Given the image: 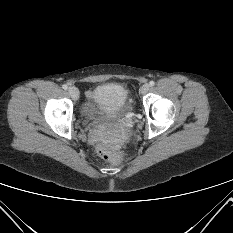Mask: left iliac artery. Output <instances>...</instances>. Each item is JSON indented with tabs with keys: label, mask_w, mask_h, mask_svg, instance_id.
Listing matches in <instances>:
<instances>
[{
	"label": "left iliac artery",
	"mask_w": 233,
	"mask_h": 233,
	"mask_svg": "<svg viewBox=\"0 0 233 233\" xmlns=\"http://www.w3.org/2000/svg\"><path fill=\"white\" fill-rule=\"evenodd\" d=\"M149 85L152 87V86L155 85V82H154V81H150V82H149Z\"/></svg>",
	"instance_id": "left-iliac-artery-1"
}]
</instances>
